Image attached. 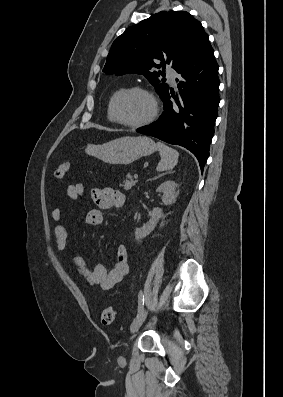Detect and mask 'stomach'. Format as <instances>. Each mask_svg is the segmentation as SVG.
Listing matches in <instances>:
<instances>
[{
	"label": "stomach",
	"mask_w": 283,
	"mask_h": 397,
	"mask_svg": "<svg viewBox=\"0 0 283 397\" xmlns=\"http://www.w3.org/2000/svg\"><path fill=\"white\" fill-rule=\"evenodd\" d=\"M157 150L155 142L146 136H125L101 145L89 144L86 153L109 164L128 165Z\"/></svg>",
	"instance_id": "0dacf381"
}]
</instances>
